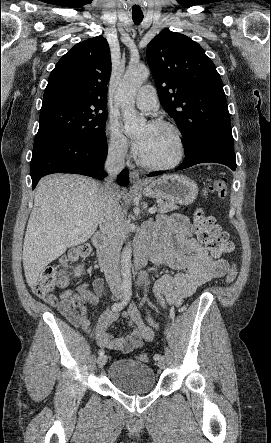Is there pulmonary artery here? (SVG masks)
Instances as JSON below:
<instances>
[{"label": "pulmonary artery", "mask_w": 271, "mask_h": 443, "mask_svg": "<svg viewBox=\"0 0 271 443\" xmlns=\"http://www.w3.org/2000/svg\"><path fill=\"white\" fill-rule=\"evenodd\" d=\"M137 107L141 110L152 111L159 106L154 88L150 85L141 87L134 99Z\"/></svg>", "instance_id": "obj_1"}]
</instances>
